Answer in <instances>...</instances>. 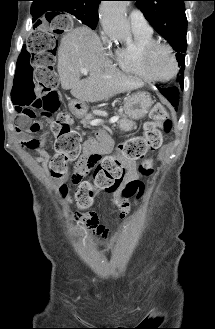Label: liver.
Returning a JSON list of instances; mask_svg holds the SVG:
<instances>
[{"label": "liver", "mask_w": 215, "mask_h": 329, "mask_svg": "<svg viewBox=\"0 0 215 329\" xmlns=\"http://www.w3.org/2000/svg\"><path fill=\"white\" fill-rule=\"evenodd\" d=\"M81 68L89 76L80 80ZM57 70L63 89L81 102H98L144 86V82L120 72L106 57L99 37L87 27L69 31L58 48Z\"/></svg>", "instance_id": "1"}]
</instances>
